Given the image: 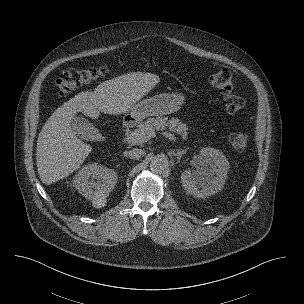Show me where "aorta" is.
Returning <instances> with one entry per match:
<instances>
[{
    "label": "aorta",
    "instance_id": "762f6f07",
    "mask_svg": "<svg viewBox=\"0 0 304 304\" xmlns=\"http://www.w3.org/2000/svg\"><path fill=\"white\" fill-rule=\"evenodd\" d=\"M169 167V162L164 154L154 156L150 161V169L154 173H163Z\"/></svg>",
    "mask_w": 304,
    "mask_h": 304
}]
</instances>
